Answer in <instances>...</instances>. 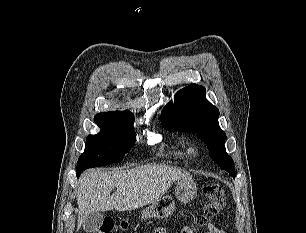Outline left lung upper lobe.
Wrapping results in <instances>:
<instances>
[{
	"label": "left lung upper lobe",
	"instance_id": "1",
	"mask_svg": "<svg viewBox=\"0 0 306 233\" xmlns=\"http://www.w3.org/2000/svg\"><path fill=\"white\" fill-rule=\"evenodd\" d=\"M219 110L205 99V88L191 84L178 91L174 103L162 110L160 120L171 131L197 133L212 160L235 178L233 159L225 152L226 134L218 123Z\"/></svg>",
	"mask_w": 306,
	"mask_h": 233
}]
</instances>
